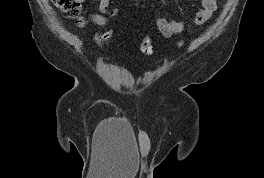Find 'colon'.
Segmentation results:
<instances>
[{"instance_id":"1","label":"colon","mask_w":264,"mask_h":178,"mask_svg":"<svg viewBox=\"0 0 264 178\" xmlns=\"http://www.w3.org/2000/svg\"><path fill=\"white\" fill-rule=\"evenodd\" d=\"M53 5L63 12L67 17L76 18L81 12L82 0H51ZM113 35L112 30L100 33L96 37V41L100 46L106 45ZM140 50L145 55L153 54V44L149 35H143L140 42Z\"/></svg>"}]
</instances>
